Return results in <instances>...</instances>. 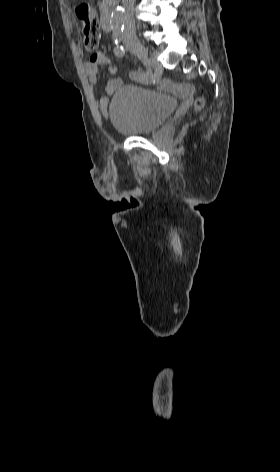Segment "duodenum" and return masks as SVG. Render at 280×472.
Masks as SVG:
<instances>
[{"instance_id":"obj_1","label":"duodenum","mask_w":280,"mask_h":472,"mask_svg":"<svg viewBox=\"0 0 280 472\" xmlns=\"http://www.w3.org/2000/svg\"><path fill=\"white\" fill-rule=\"evenodd\" d=\"M112 14L113 7L111 4L107 5L103 11L102 28L105 32H110L112 28Z\"/></svg>"}]
</instances>
